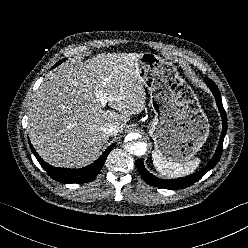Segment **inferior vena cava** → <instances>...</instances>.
I'll use <instances>...</instances> for the list:
<instances>
[{
  "instance_id": "1",
  "label": "inferior vena cava",
  "mask_w": 248,
  "mask_h": 248,
  "mask_svg": "<svg viewBox=\"0 0 248 248\" xmlns=\"http://www.w3.org/2000/svg\"><path fill=\"white\" fill-rule=\"evenodd\" d=\"M101 130L103 133L107 134L108 136H114L117 135L118 127L113 124H105L101 127Z\"/></svg>"
}]
</instances>
